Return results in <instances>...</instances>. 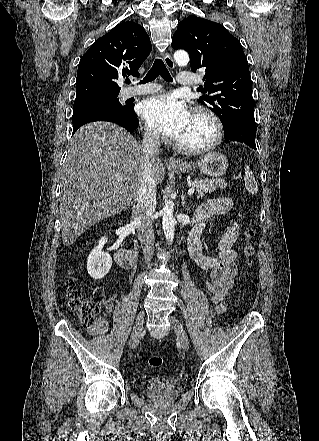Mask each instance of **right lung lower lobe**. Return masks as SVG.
Masks as SVG:
<instances>
[{"mask_svg":"<svg viewBox=\"0 0 319 441\" xmlns=\"http://www.w3.org/2000/svg\"><path fill=\"white\" fill-rule=\"evenodd\" d=\"M131 106V111L128 115H121L119 113L113 111H92L80 114L78 116L73 117V134L80 128L82 125L95 122V121H109L116 123L122 127H124L127 131L133 132L138 127L137 115L133 111L134 105Z\"/></svg>","mask_w":319,"mask_h":441,"instance_id":"right-lung-lower-lobe-1","label":"right lung lower lobe"}]
</instances>
